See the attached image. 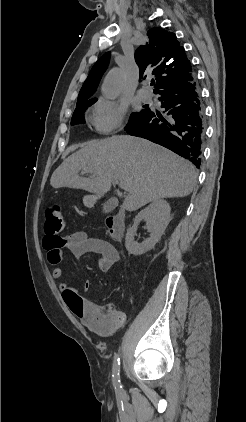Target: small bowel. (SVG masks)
<instances>
[{
    "label": "small bowel",
    "mask_w": 246,
    "mask_h": 422,
    "mask_svg": "<svg viewBox=\"0 0 246 422\" xmlns=\"http://www.w3.org/2000/svg\"><path fill=\"white\" fill-rule=\"evenodd\" d=\"M43 246L47 251L48 262L55 266L52 271L55 280L61 279L64 275V269L58 266L64 250H68L75 257L90 252L98 254L97 265L102 271H108L119 260V253L111 243L91 237L84 231L74 232L65 237L48 234L44 237ZM89 287V282L85 281L83 290L88 291ZM59 289L69 309L91 331L100 335H110L124 325L125 315L117 311L113 305L98 306L90 300L83 299L76 288L67 282L61 283Z\"/></svg>",
    "instance_id": "obj_1"
}]
</instances>
